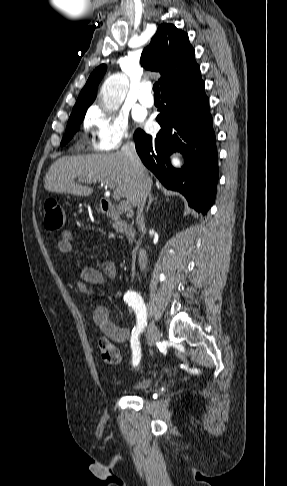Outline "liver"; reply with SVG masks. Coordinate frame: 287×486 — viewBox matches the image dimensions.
I'll return each mask as SVG.
<instances>
[{"mask_svg":"<svg viewBox=\"0 0 287 486\" xmlns=\"http://www.w3.org/2000/svg\"><path fill=\"white\" fill-rule=\"evenodd\" d=\"M108 181L114 184V195L137 205V174L128 157L121 152L62 157L50 167L44 178L49 192L89 196L93 189L75 182Z\"/></svg>","mask_w":287,"mask_h":486,"instance_id":"1","label":"liver"}]
</instances>
